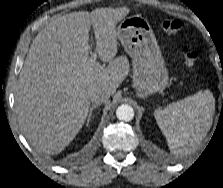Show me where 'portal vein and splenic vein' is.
Returning <instances> with one entry per match:
<instances>
[{
  "label": "portal vein and splenic vein",
  "mask_w": 223,
  "mask_h": 188,
  "mask_svg": "<svg viewBox=\"0 0 223 188\" xmlns=\"http://www.w3.org/2000/svg\"><path fill=\"white\" fill-rule=\"evenodd\" d=\"M96 59H97V54L95 52L91 53L90 61L96 62Z\"/></svg>",
  "instance_id": "1"
}]
</instances>
